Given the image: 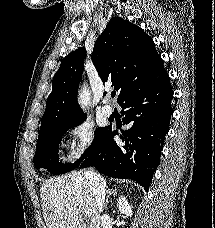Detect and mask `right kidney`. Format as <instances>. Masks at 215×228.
I'll use <instances>...</instances> for the list:
<instances>
[{
    "mask_svg": "<svg viewBox=\"0 0 215 228\" xmlns=\"http://www.w3.org/2000/svg\"><path fill=\"white\" fill-rule=\"evenodd\" d=\"M117 208L119 212H121V214H125V216H129V218H132L133 216L132 208L128 200H126L125 196H120L117 202Z\"/></svg>",
    "mask_w": 215,
    "mask_h": 228,
    "instance_id": "ca27d5eb",
    "label": "right kidney"
}]
</instances>
